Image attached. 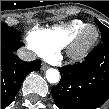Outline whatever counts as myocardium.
I'll list each match as a JSON object with an SVG mask.
<instances>
[{"label":"myocardium","mask_w":109,"mask_h":109,"mask_svg":"<svg viewBox=\"0 0 109 109\" xmlns=\"http://www.w3.org/2000/svg\"><path fill=\"white\" fill-rule=\"evenodd\" d=\"M89 29L95 30V33H96L95 37L86 45H82L83 37ZM98 39H99L98 28L91 24L86 25L74 35L72 40L67 45L66 56L68 57L69 60L73 62H78L84 59L94 48ZM47 59L52 60L53 58H47Z\"/></svg>","instance_id":"1"}]
</instances>
